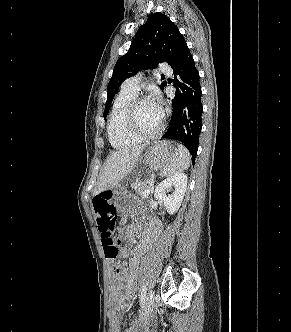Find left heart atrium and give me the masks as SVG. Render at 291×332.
<instances>
[{"label":"left heart atrium","instance_id":"obj_1","mask_svg":"<svg viewBox=\"0 0 291 332\" xmlns=\"http://www.w3.org/2000/svg\"><path fill=\"white\" fill-rule=\"evenodd\" d=\"M157 101H158L157 98L153 99V102L156 103V104H157Z\"/></svg>","mask_w":291,"mask_h":332}]
</instances>
